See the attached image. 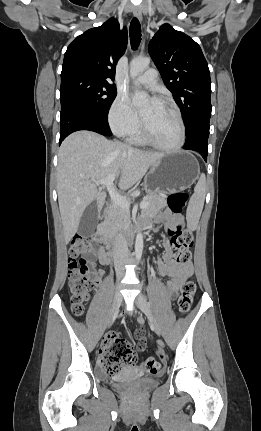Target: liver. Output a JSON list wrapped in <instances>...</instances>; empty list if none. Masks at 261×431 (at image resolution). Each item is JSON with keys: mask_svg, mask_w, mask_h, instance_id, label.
Listing matches in <instances>:
<instances>
[{"mask_svg": "<svg viewBox=\"0 0 261 431\" xmlns=\"http://www.w3.org/2000/svg\"><path fill=\"white\" fill-rule=\"evenodd\" d=\"M163 153H148L109 141L91 131H77L61 144L58 155L57 193L65 242L78 231L81 217L95 200L105 201L95 181L110 175L128 190L146 174Z\"/></svg>", "mask_w": 261, "mask_h": 431, "instance_id": "6515ba94", "label": "liver"}]
</instances>
